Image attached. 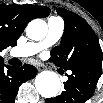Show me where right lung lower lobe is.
<instances>
[{"mask_svg": "<svg viewBox=\"0 0 103 103\" xmlns=\"http://www.w3.org/2000/svg\"><path fill=\"white\" fill-rule=\"evenodd\" d=\"M0 63V103H13L22 83L34 78L37 70L32 65L22 67L6 66Z\"/></svg>", "mask_w": 103, "mask_h": 103, "instance_id": "1", "label": "right lung lower lobe"}]
</instances>
